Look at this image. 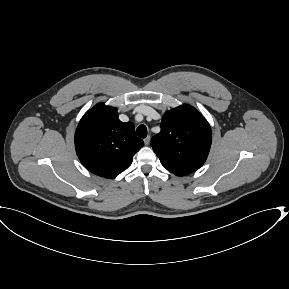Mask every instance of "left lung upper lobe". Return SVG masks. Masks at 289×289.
Listing matches in <instances>:
<instances>
[{
    "mask_svg": "<svg viewBox=\"0 0 289 289\" xmlns=\"http://www.w3.org/2000/svg\"><path fill=\"white\" fill-rule=\"evenodd\" d=\"M211 141L207 120L195 108L184 104L164 114L161 132L152 138L151 146L167 170L183 176L204 164Z\"/></svg>",
    "mask_w": 289,
    "mask_h": 289,
    "instance_id": "left-lung-upper-lobe-1",
    "label": "left lung upper lobe"
}]
</instances>
